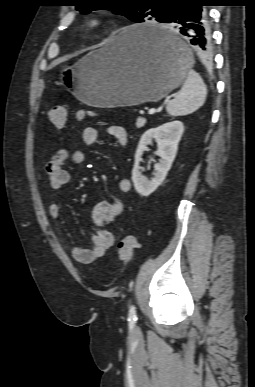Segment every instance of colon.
Listing matches in <instances>:
<instances>
[{
    "label": "colon",
    "mask_w": 255,
    "mask_h": 387,
    "mask_svg": "<svg viewBox=\"0 0 255 387\" xmlns=\"http://www.w3.org/2000/svg\"><path fill=\"white\" fill-rule=\"evenodd\" d=\"M88 116H95L94 112L91 111H80L78 113V119L82 120ZM48 119L51 124L57 128H63L68 122L67 109L62 105L53 106L48 111ZM139 247L137 239L132 235L124 236L118 244V256L123 266L127 265L135 252Z\"/></svg>",
    "instance_id": "colon-1"
}]
</instances>
